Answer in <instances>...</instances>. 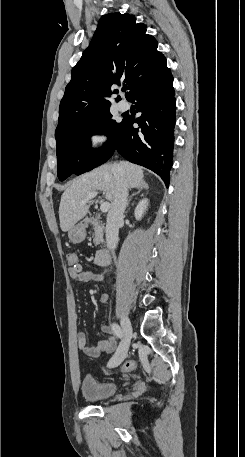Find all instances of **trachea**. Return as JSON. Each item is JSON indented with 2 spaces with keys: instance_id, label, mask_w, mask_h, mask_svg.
Here are the masks:
<instances>
[{
  "instance_id": "obj_1",
  "label": "trachea",
  "mask_w": 245,
  "mask_h": 457,
  "mask_svg": "<svg viewBox=\"0 0 245 457\" xmlns=\"http://www.w3.org/2000/svg\"><path fill=\"white\" fill-rule=\"evenodd\" d=\"M126 89H127V87H123V89H122V90H123V92H125V91H126Z\"/></svg>"
}]
</instances>
